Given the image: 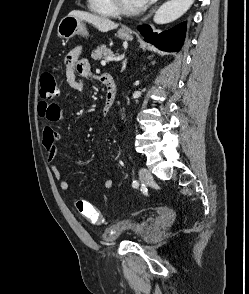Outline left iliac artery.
Segmentation results:
<instances>
[{"label":"left iliac artery","instance_id":"left-iliac-artery-1","mask_svg":"<svg viewBox=\"0 0 249 294\" xmlns=\"http://www.w3.org/2000/svg\"><path fill=\"white\" fill-rule=\"evenodd\" d=\"M132 186H133L134 188H137V187L139 186L138 181L134 180L133 183H132Z\"/></svg>","mask_w":249,"mask_h":294}]
</instances>
